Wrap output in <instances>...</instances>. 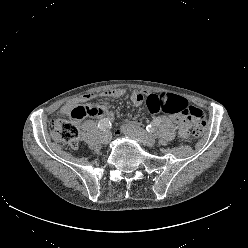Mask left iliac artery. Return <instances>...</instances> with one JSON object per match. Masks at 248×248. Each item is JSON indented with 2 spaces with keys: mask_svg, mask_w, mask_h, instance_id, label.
<instances>
[{
  "mask_svg": "<svg viewBox=\"0 0 248 248\" xmlns=\"http://www.w3.org/2000/svg\"><path fill=\"white\" fill-rule=\"evenodd\" d=\"M156 125H157V123H156V121H154V122L152 123V125L150 124V125H148V126L146 127L147 131H148V132H153V131L155 130L154 126H156Z\"/></svg>",
  "mask_w": 248,
  "mask_h": 248,
  "instance_id": "1",
  "label": "left iliac artery"
}]
</instances>
